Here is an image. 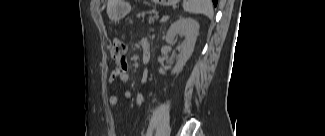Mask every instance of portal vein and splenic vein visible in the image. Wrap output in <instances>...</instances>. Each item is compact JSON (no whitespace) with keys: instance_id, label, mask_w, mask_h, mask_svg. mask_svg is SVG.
<instances>
[{"instance_id":"portal-vein-and-splenic-vein-1","label":"portal vein and splenic vein","mask_w":325,"mask_h":136,"mask_svg":"<svg viewBox=\"0 0 325 136\" xmlns=\"http://www.w3.org/2000/svg\"><path fill=\"white\" fill-rule=\"evenodd\" d=\"M168 18H169V17H168L167 15L163 16V17L161 18V22L167 21Z\"/></svg>"}]
</instances>
